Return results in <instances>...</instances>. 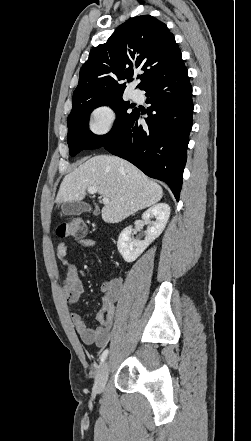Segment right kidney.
I'll return each mask as SVG.
<instances>
[{
  "mask_svg": "<svg viewBox=\"0 0 251 441\" xmlns=\"http://www.w3.org/2000/svg\"><path fill=\"white\" fill-rule=\"evenodd\" d=\"M170 216V207L166 203L155 204L142 214V220L149 224L144 240L132 237V226L126 227L119 235L117 248L123 259L130 263L135 261L143 251L163 232ZM155 217L156 220H150Z\"/></svg>",
  "mask_w": 251,
  "mask_h": 441,
  "instance_id": "right-kidney-1",
  "label": "right kidney"
}]
</instances>
